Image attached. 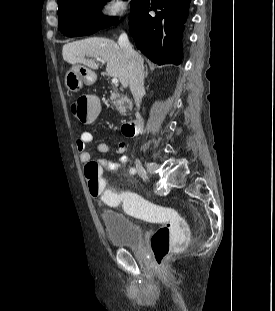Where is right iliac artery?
<instances>
[{
  "label": "right iliac artery",
  "mask_w": 275,
  "mask_h": 311,
  "mask_svg": "<svg viewBox=\"0 0 275 311\" xmlns=\"http://www.w3.org/2000/svg\"><path fill=\"white\" fill-rule=\"evenodd\" d=\"M129 172H130V174L134 175L136 173V169L135 168H130Z\"/></svg>",
  "instance_id": "obj_1"
}]
</instances>
